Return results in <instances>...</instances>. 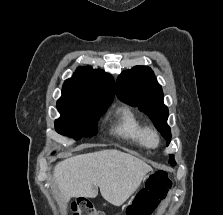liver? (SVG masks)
<instances>
[{
    "instance_id": "6515ba94",
    "label": "liver",
    "mask_w": 223,
    "mask_h": 215,
    "mask_svg": "<svg viewBox=\"0 0 223 215\" xmlns=\"http://www.w3.org/2000/svg\"><path fill=\"white\" fill-rule=\"evenodd\" d=\"M152 167L119 149H102L81 153L59 161L53 175L61 197H96L98 185L101 195L113 205H122Z\"/></svg>"
}]
</instances>
